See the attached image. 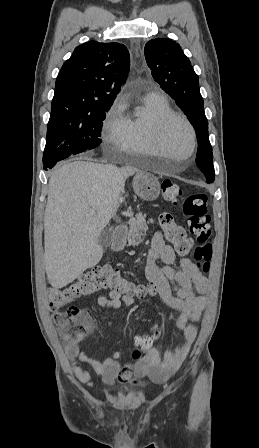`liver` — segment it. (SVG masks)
<instances>
[{
    "mask_svg": "<svg viewBox=\"0 0 259 448\" xmlns=\"http://www.w3.org/2000/svg\"><path fill=\"white\" fill-rule=\"evenodd\" d=\"M129 168L70 162L50 176L44 216V258L49 284L64 288L100 262L98 238L116 214ZM95 210V216H91Z\"/></svg>",
    "mask_w": 259,
    "mask_h": 448,
    "instance_id": "liver-1",
    "label": "liver"
}]
</instances>
